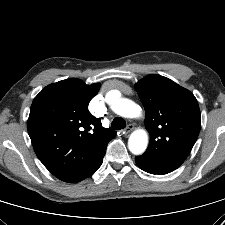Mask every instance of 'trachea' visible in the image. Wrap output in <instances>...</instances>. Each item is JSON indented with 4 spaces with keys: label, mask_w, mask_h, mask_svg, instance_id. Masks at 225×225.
Instances as JSON below:
<instances>
[{
    "label": "trachea",
    "mask_w": 225,
    "mask_h": 225,
    "mask_svg": "<svg viewBox=\"0 0 225 225\" xmlns=\"http://www.w3.org/2000/svg\"><path fill=\"white\" fill-rule=\"evenodd\" d=\"M126 127V122L121 117H115L111 123V128L113 130H120Z\"/></svg>",
    "instance_id": "1"
}]
</instances>
